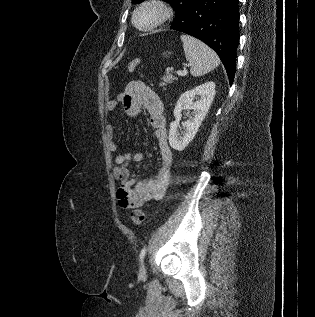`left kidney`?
<instances>
[{
  "mask_svg": "<svg viewBox=\"0 0 315 317\" xmlns=\"http://www.w3.org/2000/svg\"><path fill=\"white\" fill-rule=\"evenodd\" d=\"M215 93V83L210 81L180 96L174 109L175 121L170 124L169 129V144L173 149L182 151L193 140L211 106ZM195 97L198 99L194 102ZM183 110H193V117L185 122V131L183 136H180L178 126Z\"/></svg>",
  "mask_w": 315,
  "mask_h": 317,
  "instance_id": "1",
  "label": "left kidney"
}]
</instances>
